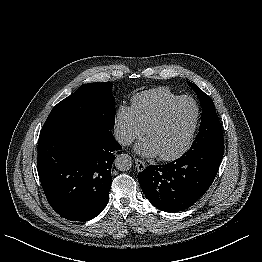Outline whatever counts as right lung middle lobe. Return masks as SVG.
Listing matches in <instances>:
<instances>
[{"label":"right lung middle lobe","instance_id":"1","mask_svg":"<svg viewBox=\"0 0 262 262\" xmlns=\"http://www.w3.org/2000/svg\"><path fill=\"white\" fill-rule=\"evenodd\" d=\"M111 82L81 85L50 112L42 130L86 127L110 131L115 124V98Z\"/></svg>","mask_w":262,"mask_h":262}]
</instances>
